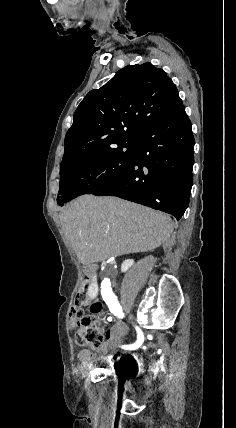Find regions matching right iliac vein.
<instances>
[{"label":"right iliac vein","instance_id":"63e3f726","mask_svg":"<svg viewBox=\"0 0 236 428\" xmlns=\"http://www.w3.org/2000/svg\"><path fill=\"white\" fill-rule=\"evenodd\" d=\"M122 341H120V340H118V339H116V340H114V341H109V344L111 345V347L109 346H107L105 349L108 351H112L114 348L113 347H115V346H120L121 344H123L124 342H125V338L123 337L122 339H121ZM121 343V344H120ZM125 344V343H124Z\"/></svg>","mask_w":236,"mask_h":428}]
</instances>
